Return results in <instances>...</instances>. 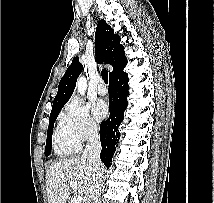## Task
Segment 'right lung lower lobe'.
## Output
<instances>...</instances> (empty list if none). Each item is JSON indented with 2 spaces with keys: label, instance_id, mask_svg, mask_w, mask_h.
Here are the masks:
<instances>
[{
  "label": "right lung lower lobe",
  "instance_id": "obj_1",
  "mask_svg": "<svg viewBox=\"0 0 214 203\" xmlns=\"http://www.w3.org/2000/svg\"><path fill=\"white\" fill-rule=\"evenodd\" d=\"M128 77L123 71L110 77L109 79V109L110 116L103 121L100 126L101 140V161L107 166H111L113 154L116 150L120 134L118 126L124 119V111L128 105Z\"/></svg>",
  "mask_w": 214,
  "mask_h": 203
}]
</instances>
